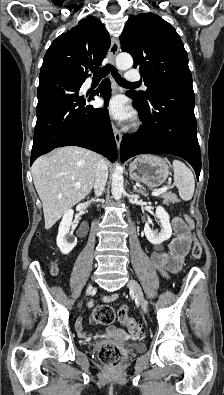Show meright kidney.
I'll list each match as a JSON object with an SVG mask.
<instances>
[{
	"label": "right kidney",
	"mask_w": 224,
	"mask_h": 395,
	"mask_svg": "<svg viewBox=\"0 0 224 395\" xmlns=\"http://www.w3.org/2000/svg\"><path fill=\"white\" fill-rule=\"evenodd\" d=\"M73 215L74 211L72 209L67 210L58 229L57 246L64 255L69 254L77 244V238L69 234Z\"/></svg>",
	"instance_id": "right-kidney-1"
}]
</instances>
